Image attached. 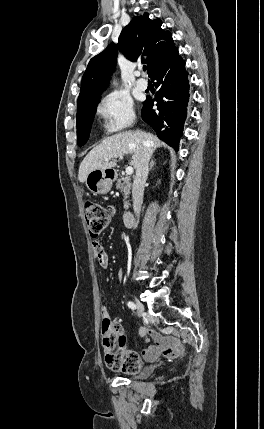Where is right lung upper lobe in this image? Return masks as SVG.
<instances>
[{"label": "right lung upper lobe", "instance_id": "obj_1", "mask_svg": "<svg viewBox=\"0 0 264 429\" xmlns=\"http://www.w3.org/2000/svg\"><path fill=\"white\" fill-rule=\"evenodd\" d=\"M161 25L160 19L151 20L147 13L136 16L122 30L118 40V47L127 59L135 61L140 55L148 56L142 62L148 65L150 76L177 49L172 34L164 31ZM116 58L117 48L111 43L90 60L82 78L77 106L100 98L116 65Z\"/></svg>", "mask_w": 264, "mask_h": 429}]
</instances>
